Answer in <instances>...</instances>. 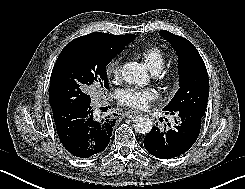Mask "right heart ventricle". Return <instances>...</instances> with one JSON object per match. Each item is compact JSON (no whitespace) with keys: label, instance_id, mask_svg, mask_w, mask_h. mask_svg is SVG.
I'll list each match as a JSON object with an SVG mask.
<instances>
[{"label":"right heart ventricle","instance_id":"e07e8e85","mask_svg":"<svg viewBox=\"0 0 245 189\" xmlns=\"http://www.w3.org/2000/svg\"><path fill=\"white\" fill-rule=\"evenodd\" d=\"M138 55L152 72H159L166 63L165 52L157 46H144L138 49Z\"/></svg>","mask_w":245,"mask_h":189}]
</instances>
